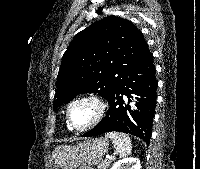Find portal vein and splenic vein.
Here are the masks:
<instances>
[{
  "label": "portal vein and splenic vein",
  "mask_w": 200,
  "mask_h": 169,
  "mask_svg": "<svg viewBox=\"0 0 200 169\" xmlns=\"http://www.w3.org/2000/svg\"><path fill=\"white\" fill-rule=\"evenodd\" d=\"M107 159H114V156H106Z\"/></svg>",
  "instance_id": "obj_1"
}]
</instances>
